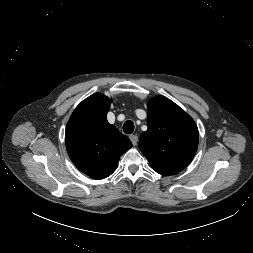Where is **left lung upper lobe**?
I'll return each mask as SVG.
<instances>
[{"label":"left lung upper lobe","instance_id":"obj_1","mask_svg":"<svg viewBox=\"0 0 253 253\" xmlns=\"http://www.w3.org/2000/svg\"><path fill=\"white\" fill-rule=\"evenodd\" d=\"M148 130L139 148L159 174L173 175L186 168L197 151L199 133L194 120L163 96L148 103Z\"/></svg>","mask_w":253,"mask_h":253}]
</instances>
